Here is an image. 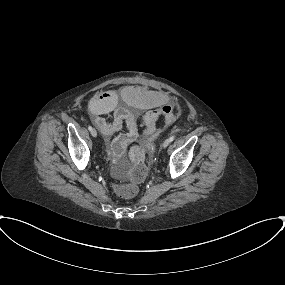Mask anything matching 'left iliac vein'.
<instances>
[{
	"label": "left iliac vein",
	"mask_w": 285,
	"mask_h": 285,
	"mask_svg": "<svg viewBox=\"0 0 285 285\" xmlns=\"http://www.w3.org/2000/svg\"><path fill=\"white\" fill-rule=\"evenodd\" d=\"M170 144V140L169 139H165L164 142L162 143L161 147L162 148H166L168 147Z\"/></svg>",
	"instance_id": "1"
}]
</instances>
